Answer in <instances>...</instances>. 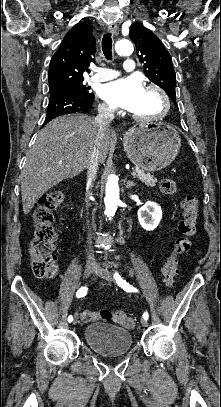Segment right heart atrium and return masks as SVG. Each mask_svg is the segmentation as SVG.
Here are the masks:
<instances>
[{
	"label": "right heart atrium",
	"instance_id": "1",
	"mask_svg": "<svg viewBox=\"0 0 221 407\" xmlns=\"http://www.w3.org/2000/svg\"><path fill=\"white\" fill-rule=\"evenodd\" d=\"M98 109L101 113H112L114 111V108L107 103H100Z\"/></svg>",
	"mask_w": 221,
	"mask_h": 407
}]
</instances>
